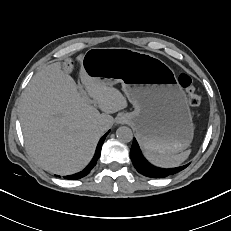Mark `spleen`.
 Listing matches in <instances>:
<instances>
[{
    "mask_svg": "<svg viewBox=\"0 0 231 231\" xmlns=\"http://www.w3.org/2000/svg\"><path fill=\"white\" fill-rule=\"evenodd\" d=\"M191 150H186L179 154L168 155V154H155L146 151V158L153 164L163 168H172L179 166L182 162H184L188 156L190 155Z\"/></svg>",
    "mask_w": 231,
    "mask_h": 231,
    "instance_id": "3e777b00",
    "label": "spleen"
}]
</instances>
